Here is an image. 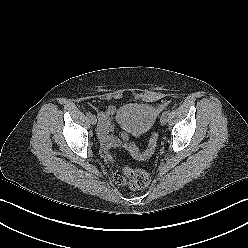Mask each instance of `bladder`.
I'll list each match as a JSON object with an SVG mask.
<instances>
[{
  "label": "bladder",
  "mask_w": 248,
  "mask_h": 248,
  "mask_svg": "<svg viewBox=\"0 0 248 248\" xmlns=\"http://www.w3.org/2000/svg\"><path fill=\"white\" fill-rule=\"evenodd\" d=\"M156 118L154 108L147 103H130L118 110L119 122L136 135L149 131Z\"/></svg>",
  "instance_id": "obj_1"
}]
</instances>
